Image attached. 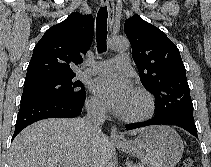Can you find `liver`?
I'll list each match as a JSON object with an SVG mask.
<instances>
[{
    "label": "liver",
    "instance_id": "liver-1",
    "mask_svg": "<svg viewBox=\"0 0 211 167\" xmlns=\"http://www.w3.org/2000/svg\"><path fill=\"white\" fill-rule=\"evenodd\" d=\"M82 118H50L35 122L14 139L9 167H104L111 156L108 137L93 140ZM145 128L129 131L136 135Z\"/></svg>",
    "mask_w": 211,
    "mask_h": 167
}]
</instances>
